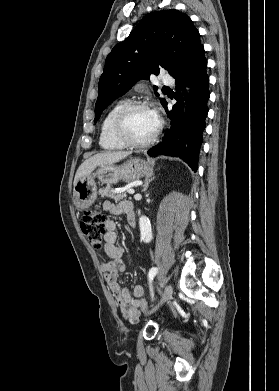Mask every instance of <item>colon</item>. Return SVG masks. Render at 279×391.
Instances as JSON below:
<instances>
[{"label": "colon", "mask_w": 279, "mask_h": 391, "mask_svg": "<svg viewBox=\"0 0 279 391\" xmlns=\"http://www.w3.org/2000/svg\"><path fill=\"white\" fill-rule=\"evenodd\" d=\"M81 229L92 247L97 249L102 247L106 234V221L100 209L95 208L84 212ZM138 307L144 313L151 314L143 297L138 299Z\"/></svg>", "instance_id": "colon-1"}]
</instances>
